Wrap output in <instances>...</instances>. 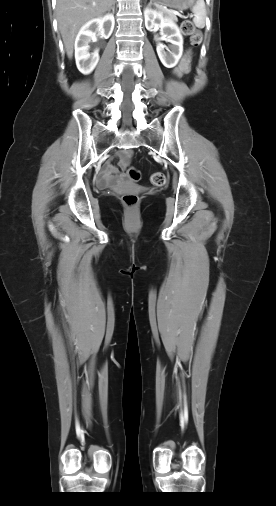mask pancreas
I'll use <instances>...</instances> for the list:
<instances>
[{
	"instance_id": "1",
	"label": "pancreas",
	"mask_w": 276,
	"mask_h": 506,
	"mask_svg": "<svg viewBox=\"0 0 276 506\" xmlns=\"http://www.w3.org/2000/svg\"><path fill=\"white\" fill-rule=\"evenodd\" d=\"M161 10L162 13L166 14L169 16V18L173 21H177V17L175 16V14H172V13H167L164 9L162 8H159Z\"/></svg>"
}]
</instances>
